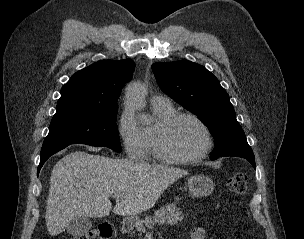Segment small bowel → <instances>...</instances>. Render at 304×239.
Wrapping results in <instances>:
<instances>
[{"label":"small bowel","mask_w":304,"mask_h":239,"mask_svg":"<svg viewBox=\"0 0 304 239\" xmlns=\"http://www.w3.org/2000/svg\"><path fill=\"white\" fill-rule=\"evenodd\" d=\"M188 239H205V232L201 228H195L190 232Z\"/></svg>","instance_id":"obj_1"}]
</instances>
